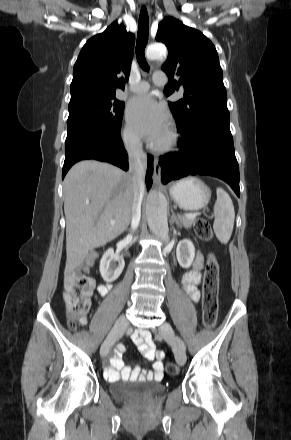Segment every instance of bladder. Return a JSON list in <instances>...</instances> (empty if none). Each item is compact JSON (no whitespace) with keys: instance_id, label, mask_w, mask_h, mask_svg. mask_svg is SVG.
<instances>
[{"instance_id":"1","label":"bladder","mask_w":291,"mask_h":440,"mask_svg":"<svg viewBox=\"0 0 291 440\" xmlns=\"http://www.w3.org/2000/svg\"><path fill=\"white\" fill-rule=\"evenodd\" d=\"M164 392L161 385L140 386L139 382L134 381H118L112 389V395L121 402H127L138 398H153Z\"/></svg>"}]
</instances>
